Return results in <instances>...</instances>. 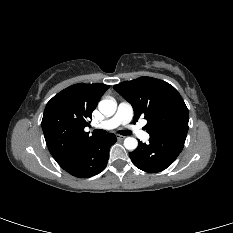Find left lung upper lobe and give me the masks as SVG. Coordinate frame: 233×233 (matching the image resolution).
I'll return each mask as SVG.
<instances>
[{
	"label": "left lung upper lobe",
	"instance_id": "obj_1",
	"mask_svg": "<svg viewBox=\"0 0 233 233\" xmlns=\"http://www.w3.org/2000/svg\"><path fill=\"white\" fill-rule=\"evenodd\" d=\"M113 88L131 103L134 122L140 116L148 120L145 129L150 138H186L188 109L172 85L156 78L140 77L117 84Z\"/></svg>",
	"mask_w": 233,
	"mask_h": 233
}]
</instances>
